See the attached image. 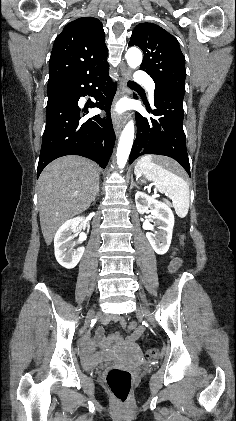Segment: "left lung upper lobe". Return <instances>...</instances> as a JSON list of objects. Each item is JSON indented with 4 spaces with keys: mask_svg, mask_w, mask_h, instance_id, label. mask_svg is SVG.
<instances>
[{
    "mask_svg": "<svg viewBox=\"0 0 236 421\" xmlns=\"http://www.w3.org/2000/svg\"><path fill=\"white\" fill-rule=\"evenodd\" d=\"M133 45L140 47L144 53L140 69L154 80L155 92L169 88L184 94L185 59L179 43L171 34L154 23H140L129 42V46Z\"/></svg>",
    "mask_w": 236,
    "mask_h": 421,
    "instance_id": "obj_1",
    "label": "left lung upper lobe"
}]
</instances>
